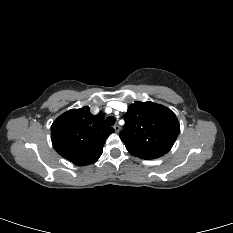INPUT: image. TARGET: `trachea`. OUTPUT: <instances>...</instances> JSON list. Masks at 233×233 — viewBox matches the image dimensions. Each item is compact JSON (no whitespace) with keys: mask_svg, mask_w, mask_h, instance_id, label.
Returning a JSON list of instances; mask_svg holds the SVG:
<instances>
[{"mask_svg":"<svg viewBox=\"0 0 233 233\" xmlns=\"http://www.w3.org/2000/svg\"><path fill=\"white\" fill-rule=\"evenodd\" d=\"M115 121H116V119L113 116H109V117L106 118V123L109 126H113L115 124Z\"/></svg>","mask_w":233,"mask_h":233,"instance_id":"1","label":"trachea"}]
</instances>
